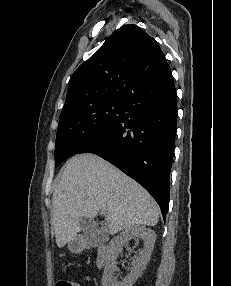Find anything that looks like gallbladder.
<instances>
[{
	"instance_id": "1",
	"label": "gallbladder",
	"mask_w": 231,
	"mask_h": 286,
	"mask_svg": "<svg viewBox=\"0 0 231 286\" xmlns=\"http://www.w3.org/2000/svg\"><path fill=\"white\" fill-rule=\"evenodd\" d=\"M79 226L86 234H97L99 233V228L97 227V222L92 216H85L79 219Z\"/></svg>"
}]
</instances>
